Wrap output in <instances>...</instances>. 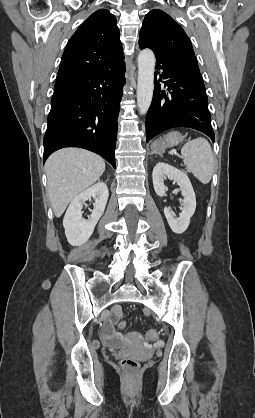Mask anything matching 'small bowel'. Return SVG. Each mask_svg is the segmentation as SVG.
Instances as JSON below:
<instances>
[{
	"mask_svg": "<svg viewBox=\"0 0 255 418\" xmlns=\"http://www.w3.org/2000/svg\"><path fill=\"white\" fill-rule=\"evenodd\" d=\"M121 318H122V313H121L120 307L118 306L114 307L111 321L113 322ZM103 336H104V339L108 343H113L118 337L117 333L115 332L111 324L107 325L104 328Z\"/></svg>",
	"mask_w": 255,
	"mask_h": 418,
	"instance_id": "small-bowel-1",
	"label": "small bowel"
}]
</instances>
